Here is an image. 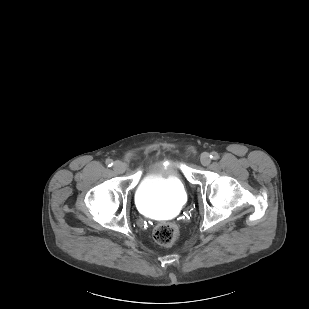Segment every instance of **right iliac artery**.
Here are the masks:
<instances>
[{"label": "right iliac artery", "instance_id": "obj_1", "mask_svg": "<svg viewBox=\"0 0 309 309\" xmlns=\"http://www.w3.org/2000/svg\"><path fill=\"white\" fill-rule=\"evenodd\" d=\"M106 165H107L108 167H111V166L113 165V160L107 159V160H106Z\"/></svg>", "mask_w": 309, "mask_h": 309}]
</instances>
